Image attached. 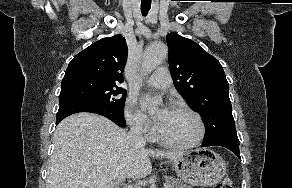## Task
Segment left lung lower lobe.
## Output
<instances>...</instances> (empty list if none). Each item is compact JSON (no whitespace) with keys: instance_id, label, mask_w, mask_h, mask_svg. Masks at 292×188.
<instances>
[{"instance_id":"left-lung-lower-lobe-1","label":"left lung lower lobe","mask_w":292,"mask_h":188,"mask_svg":"<svg viewBox=\"0 0 292 188\" xmlns=\"http://www.w3.org/2000/svg\"><path fill=\"white\" fill-rule=\"evenodd\" d=\"M203 147L206 146H222L234 152L239 158V140L237 137L236 130H229L220 133L210 139H205ZM241 159V158H240Z\"/></svg>"}]
</instances>
